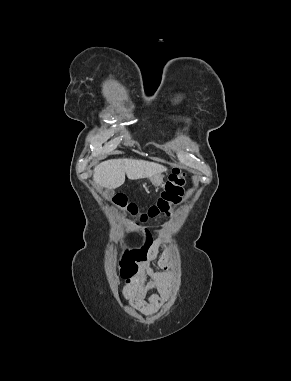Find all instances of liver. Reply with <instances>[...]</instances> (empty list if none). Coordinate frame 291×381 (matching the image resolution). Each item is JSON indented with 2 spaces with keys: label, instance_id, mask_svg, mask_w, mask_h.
Segmentation results:
<instances>
[{
  "label": "liver",
  "instance_id": "1",
  "mask_svg": "<svg viewBox=\"0 0 291 381\" xmlns=\"http://www.w3.org/2000/svg\"><path fill=\"white\" fill-rule=\"evenodd\" d=\"M165 167L149 161L135 159H112L94 168V181L101 187L115 189L125 182V174L130 180L152 178L161 175Z\"/></svg>",
  "mask_w": 291,
  "mask_h": 381
}]
</instances>
